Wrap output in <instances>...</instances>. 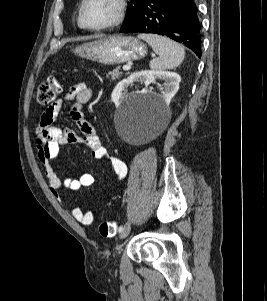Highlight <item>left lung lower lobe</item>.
Returning a JSON list of instances; mask_svg holds the SVG:
<instances>
[{"label":"left lung lower lobe","instance_id":"obj_1","mask_svg":"<svg viewBox=\"0 0 267 301\" xmlns=\"http://www.w3.org/2000/svg\"><path fill=\"white\" fill-rule=\"evenodd\" d=\"M194 0H146L122 33H153L169 37L201 57V33Z\"/></svg>","mask_w":267,"mask_h":301}]
</instances>
